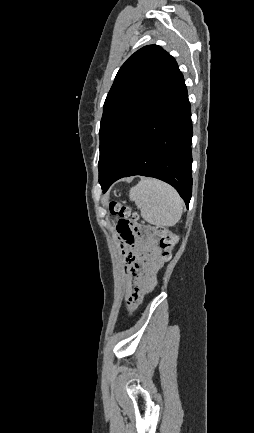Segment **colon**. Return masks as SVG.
I'll use <instances>...</instances> for the list:
<instances>
[{"label":"colon","instance_id":"colon-1","mask_svg":"<svg viewBox=\"0 0 254 433\" xmlns=\"http://www.w3.org/2000/svg\"><path fill=\"white\" fill-rule=\"evenodd\" d=\"M109 214L118 216L119 220L116 225L118 237L125 245H132L137 236H154L158 240V247L162 257L168 260L172 256L175 245L178 242V237L167 227L152 228L143 226L139 220V215L132 211L131 208L119 200H113L109 203ZM138 300H129V303L138 302Z\"/></svg>","mask_w":254,"mask_h":433}]
</instances>
